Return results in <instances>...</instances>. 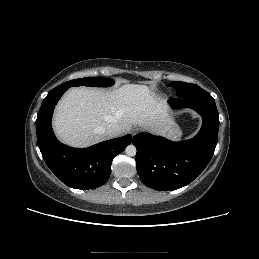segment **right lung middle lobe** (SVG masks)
Segmentation results:
<instances>
[{
	"mask_svg": "<svg viewBox=\"0 0 259 259\" xmlns=\"http://www.w3.org/2000/svg\"><path fill=\"white\" fill-rule=\"evenodd\" d=\"M114 82L113 80L107 79V78H99V77H86V78H80L71 80L65 83H62L61 85L57 87H73V86H92V87H107L112 85Z\"/></svg>",
	"mask_w": 259,
	"mask_h": 259,
	"instance_id": "obj_1",
	"label": "right lung middle lobe"
}]
</instances>
